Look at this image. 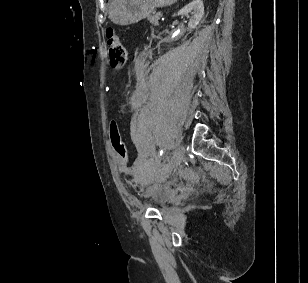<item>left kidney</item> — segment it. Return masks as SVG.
<instances>
[{
    "label": "left kidney",
    "mask_w": 308,
    "mask_h": 283,
    "mask_svg": "<svg viewBox=\"0 0 308 283\" xmlns=\"http://www.w3.org/2000/svg\"><path fill=\"white\" fill-rule=\"evenodd\" d=\"M176 15L187 16V18H189L188 27L190 29L196 28L204 15L203 1L193 0L191 3L179 10L177 14H174V16Z\"/></svg>",
    "instance_id": "obj_1"
}]
</instances>
